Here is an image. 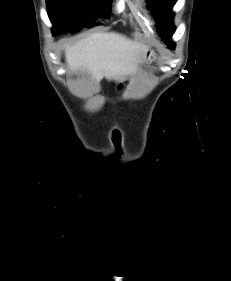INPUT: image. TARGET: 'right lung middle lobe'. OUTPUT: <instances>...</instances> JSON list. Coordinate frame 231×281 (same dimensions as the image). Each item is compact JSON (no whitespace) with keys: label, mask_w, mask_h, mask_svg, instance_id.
<instances>
[{"label":"right lung middle lobe","mask_w":231,"mask_h":281,"mask_svg":"<svg viewBox=\"0 0 231 281\" xmlns=\"http://www.w3.org/2000/svg\"><path fill=\"white\" fill-rule=\"evenodd\" d=\"M53 34L73 32L107 13L111 0H46Z\"/></svg>","instance_id":"dd1d6c3e"}]
</instances>
